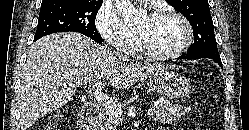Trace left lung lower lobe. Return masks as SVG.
<instances>
[{
  "instance_id": "left-lung-lower-lobe-1",
  "label": "left lung lower lobe",
  "mask_w": 249,
  "mask_h": 130,
  "mask_svg": "<svg viewBox=\"0 0 249 130\" xmlns=\"http://www.w3.org/2000/svg\"><path fill=\"white\" fill-rule=\"evenodd\" d=\"M200 58H209V59H212L216 63H218L220 65V67H222V62H221L220 56L219 57H211V56H204V55H186V56H180L178 59H188V60H191V59H200Z\"/></svg>"
}]
</instances>
